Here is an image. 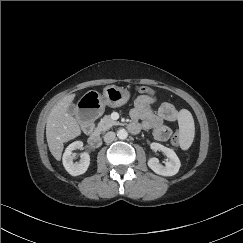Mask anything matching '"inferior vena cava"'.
<instances>
[{"label": "inferior vena cava", "mask_w": 243, "mask_h": 243, "mask_svg": "<svg viewBox=\"0 0 243 243\" xmlns=\"http://www.w3.org/2000/svg\"><path fill=\"white\" fill-rule=\"evenodd\" d=\"M116 134L113 131L107 132L104 135V141L106 143H111L112 141H114Z\"/></svg>", "instance_id": "602c4592"}]
</instances>
